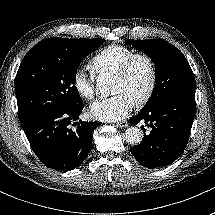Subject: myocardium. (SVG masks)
<instances>
[{
  "label": "myocardium",
  "instance_id": "obj_1",
  "mask_svg": "<svg viewBox=\"0 0 215 215\" xmlns=\"http://www.w3.org/2000/svg\"><path fill=\"white\" fill-rule=\"evenodd\" d=\"M139 59L144 60L149 68V81L147 89L142 98H140L138 101L134 103L135 107L142 108L152 98L157 84V68L153 58L144 52H134L119 65L117 70L114 72V77L117 78L126 77L134 62Z\"/></svg>",
  "mask_w": 215,
  "mask_h": 215
}]
</instances>
